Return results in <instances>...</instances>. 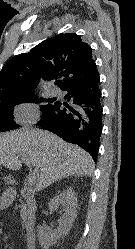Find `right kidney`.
I'll list each match as a JSON object with an SVG mask.
<instances>
[{"mask_svg":"<svg viewBox=\"0 0 135 249\" xmlns=\"http://www.w3.org/2000/svg\"><path fill=\"white\" fill-rule=\"evenodd\" d=\"M59 205L64 208V214L58 220V230L52 232L46 230L43 226L37 227L38 240L43 249H49L61 236L67 235L77 216V197L72 189L64 190L51 199L48 205L49 210L55 211Z\"/></svg>","mask_w":135,"mask_h":249,"instance_id":"obj_1","label":"right kidney"}]
</instances>
